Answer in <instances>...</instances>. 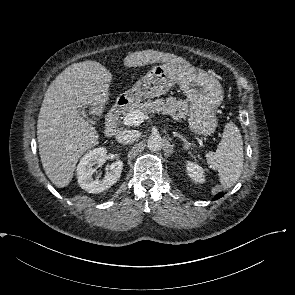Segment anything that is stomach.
Masks as SVG:
<instances>
[{
  "label": "stomach",
  "instance_id": "obj_1",
  "mask_svg": "<svg viewBox=\"0 0 295 295\" xmlns=\"http://www.w3.org/2000/svg\"><path fill=\"white\" fill-rule=\"evenodd\" d=\"M190 102L188 124L198 135H211L217 127L216 111L223 100V89L215 76L191 65L163 63L149 70L117 102L138 104L144 98L165 94L174 85Z\"/></svg>",
  "mask_w": 295,
  "mask_h": 295
}]
</instances>
